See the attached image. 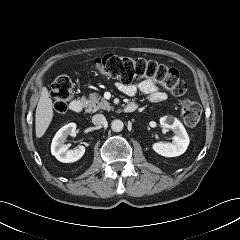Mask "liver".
Listing matches in <instances>:
<instances>
[{
	"label": "liver",
	"mask_w": 240,
	"mask_h": 240,
	"mask_svg": "<svg viewBox=\"0 0 240 240\" xmlns=\"http://www.w3.org/2000/svg\"><path fill=\"white\" fill-rule=\"evenodd\" d=\"M53 118V102L47 88H43L36 108L35 130L36 137L41 138Z\"/></svg>",
	"instance_id": "6515ba94"
}]
</instances>
